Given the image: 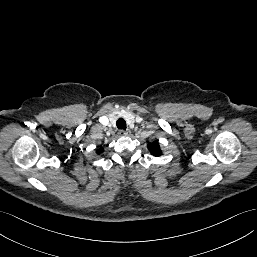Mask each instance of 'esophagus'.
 I'll list each match as a JSON object with an SVG mask.
<instances>
[{
    "instance_id": "34e87169",
    "label": "esophagus",
    "mask_w": 257,
    "mask_h": 257,
    "mask_svg": "<svg viewBox=\"0 0 257 257\" xmlns=\"http://www.w3.org/2000/svg\"><path fill=\"white\" fill-rule=\"evenodd\" d=\"M119 134L121 136H129L130 135V131L129 130H120Z\"/></svg>"
}]
</instances>
